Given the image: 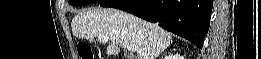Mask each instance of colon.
I'll list each match as a JSON object with an SVG mask.
<instances>
[{
  "instance_id": "colon-1",
  "label": "colon",
  "mask_w": 261,
  "mask_h": 59,
  "mask_svg": "<svg viewBox=\"0 0 261 59\" xmlns=\"http://www.w3.org/2000/svg\"><path fill=\"white\" fill-rule=\"evenodd\" d=\"M78 54L81 59H95L94 52L91 47L87 44H79L78 45Z\"/></svg>"
}]
</instances>
